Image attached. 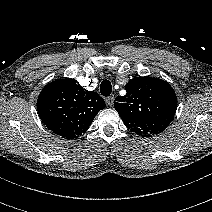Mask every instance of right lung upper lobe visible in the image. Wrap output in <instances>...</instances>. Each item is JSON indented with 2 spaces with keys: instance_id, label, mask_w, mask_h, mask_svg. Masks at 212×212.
Masks as SVG:
<instances>
[{
  "instance_id": "cb5924a9",
  "label": "right lung upper lobe",
  "mask_w": 212,
  "mask_h": 212,
  "mask_svg": "<svg viewBox=\"0 0 212 212\" xmlns=\"http://www.w3.org/2000/svg\"><path fill=\"white\" fill-rule=\"evenodd\" d=\"M105 102L96 92L87 91L73 79L56 80L41 91L37 110L49 130L66 139L85 133Z\"/></svg>"
}]
</instances>
